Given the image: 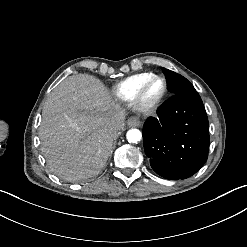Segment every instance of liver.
I'll use <instances>...</instances> for the list:
<instances>
[{"mask_svg":"<svg viewBox=\"0 0 247 247\" xmlns=\"http://www.w3.org/2000/svg\"><path fill=\"white\" fill-rule=\"evenodd\" d=\"M126 113L97 78L78 74L64 79L49 95L39 127L41 151L52 172L76 182L97 175L110 156Z\"/></svg>","mask_w":247,"mask_h":247,"instance_id":"liver-1","label":"liver"}]
</instances>
